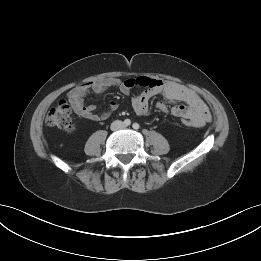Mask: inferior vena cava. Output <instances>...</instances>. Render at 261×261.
Segmentation results:
<instances>
[{
    "mask_svg": "<svg viewBox=\"0 0 261 261\" xmlns=\"http://www.w3.org/2000/svg\"><path fill=\"white\" fill-rule=\"evenodd\" d=\"M123 126L124 125H123L122 121L116 120V121L112 122L111 130L116 131V130L123 128Z\"/></svg>",
    "mask_w": 261,
    "mask_h": 261,
    "instance_id": "1",
    "label": "inferior vena cava"
}]
</instances>
